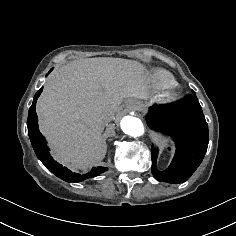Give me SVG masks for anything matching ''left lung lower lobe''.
Returning a JSON list of instances; mask_svg holds the SVG:
<instances>
[{
  "label": "left lung lower lobe",
  "instance_id": "obj_1",
  "mask_svg": "<svg viewBox=\"0 0 236 236\" xmlns=\"http://www.w3.org/2000/svg\"><path fill=\"white\" fill-rule=\"evenodd\" d=\"M180 101L154 105L146 115L148 126L171 136L176 144L170 166L160 172L156 168L158 149L151 146L152 173L158 181L182 183L188 180L203 161L209 134L208 124L195 92Z\"/></svg>",
  "mask_w": 236,
  "mask_h": 236
}]
</instances>
